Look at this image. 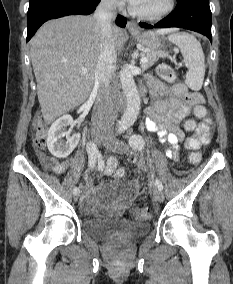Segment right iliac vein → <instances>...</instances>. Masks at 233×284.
<instances>
[{
	"mask_svg": "<svg viewBox=\"0 0 233 284\" xmlns=\"http://www.w3.org/2000/svg\"><path fill=\"white\" fill-rule=\"evenodd\" d=\"M93 138L97 145L104 144V142L106 141V137L100 133H94ZM74 200H78V194L75 195Z\"/></svg>",
	"mask_w": 233,
	"mask_h": 284,
	"instance_id": "obj_1",
	"label": "right iliac vein"
}]
</instances>
